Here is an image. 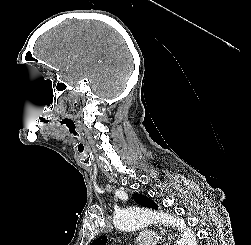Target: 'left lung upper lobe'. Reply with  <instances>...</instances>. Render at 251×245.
I'll return each instance as SVG.
<instances>
[{"mask_svg": "<svg viewBox=\"0 0 251 245\" xmlns=\"http://www.w3.org/2000/svg\"><path fill=\"white\" fill-rule=\"evenodd\" d=\"M133 199L134 201L144 207H148V208H154L157 209L158 206L157 204L151 200L150 198H147L141 194L135 193L133 195ZM107 243V237L106 236H101L99 238H97L95 241H93L90 245H106Z\"/></svg>", "mask_w": 251, "mask_h": 245, "instance_id": "left-lung-upper-lobe-1", "label": "left lung upper lobe"}]
</instances>
